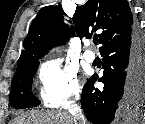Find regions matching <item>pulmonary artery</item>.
Segmentation results:
<instances>
[{
	"label": "pulmonary artery",
	"instance_id": "obj_1",
	"mask_svg": "<svg viewBox=\"0 0 145 124\" xmlns=\"http://www.w3.org/2000/svg\"><path fill=\"white\" fill-rule=\"evenodd\" d=\"M84 59L87 62H93L95 60V53L91 50H86L83 54Z\"/></svg>",
	"mask_w": 145,
	"mask_h": 124
}]
</instances>
